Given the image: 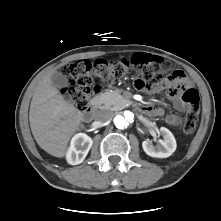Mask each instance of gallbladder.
I'll use <instances>...</instances> for the list:
<instances>
[{"mask_svg":"<svg viewBox=\"0 0 221 221\" xmlns=\"http://www.w3.org/2000/svg\"><path fill=\"white\" fill-rule=\"evenodd\" d=\"M53 86L57 88H63L68 86V79L60 72H54L51 76Z\"/></svg>","mask_w":221,"mask_h":221,"instance_id":"bac80fb5","label":"gallbladder"}]
</instances>
